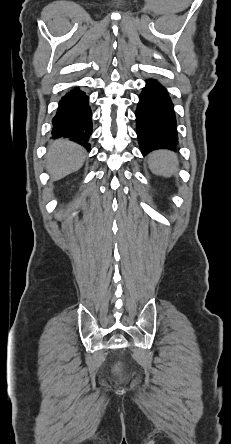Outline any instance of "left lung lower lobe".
<instances>
[{"instance_id":"left-lung-lower-lobe-1","label":"left lung lower lobe","mask_w":231,"mask_h":444,"mask_svg":"<svg viewBox=\"0 0 231 444\" xmlns=\"http://www.w3.org/2000/svg\"><path fill=\"white\" fill-rule=\"evenodd\" d=\"M136 127L142 154L178 145L173 103L166 89L156 80H146L136 110Z\"/></svg>"}]
</instances>
